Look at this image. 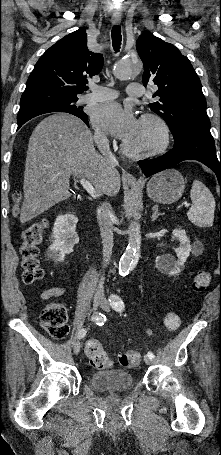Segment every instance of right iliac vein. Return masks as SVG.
<instances>
[{
  "label": "right iliac vein",
  "instance_id": "1",
  "mask_svg": "<svg viewBox=\"0 0 221 455\" xmlns=\"http://www.w3.org/2000/svg\"><path fill=\"white\" fill-rule=\"evenodd\" d=\"M103 302V297L100 295H95L93 298V306L97 308ZM81 349V344L79 341H76L73 347L74 353L78 354Z\"/></svg>",
  "mask_w": 221,
  "mask_h": 455
}]
</instances>
